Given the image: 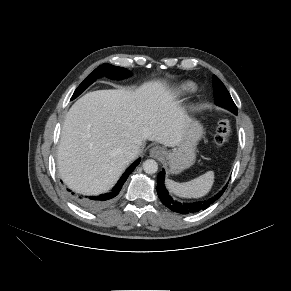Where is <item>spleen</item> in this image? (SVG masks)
Wrapping results in <instances>:
<instances>
[{"instance_id":"spleen-1","label":"spleen","mask_w":291,"mask_h":291,"mask_svg":"<svg viewBox=\"0 0 291 291\" xmlns=\"http://www.w3.org/2000/svg\"><path fill=\"white\" fill-rule=\"evenodd\" d=\"M214 183V172L208 171L205 174L185 183H178L170 179H166L167 189L184 198H200L205 196Z\"/></svg>"}]
</instances>
